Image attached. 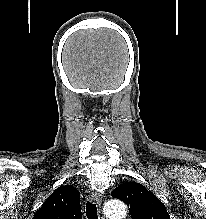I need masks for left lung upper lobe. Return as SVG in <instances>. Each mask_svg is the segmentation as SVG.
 <instances>
[{
    "instance_id": "1",
    "label": "left lung upper lobe",
    "mask_w": 206,
    "mask_h": 219,
    "mask_svg": "<svg viewBox=\"0 0 206 219\" xmlns=\"http://www.w3.org/2000/svg\"><path fill=\"white\" fill-rule=\"evenodd\" d=\"M111 195L128 205L132 219H170L165 205L142 184L126 182Z\"/></svg>"
}]
</instances>
